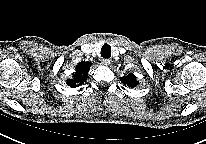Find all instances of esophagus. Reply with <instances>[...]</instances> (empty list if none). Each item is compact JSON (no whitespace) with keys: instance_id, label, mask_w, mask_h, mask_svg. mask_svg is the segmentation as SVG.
Listing matches in <instances>:
<instances>
[{"instance_id":"esophagus-1","label":"esophagus","mask_w":206,"mask_h":144,"mask_svg":"<svg viewBox=\"0 0 206 144\" xmlns=\"http://www.w3.org/2000/svg\"><path fill=\"white\" fill-rule=\"evenodd\" d=\"M101 61H102V63H103L104 65H106V66H108V65L111 64V60H110V59H102Z\"/></svg>"}]
</instances>
